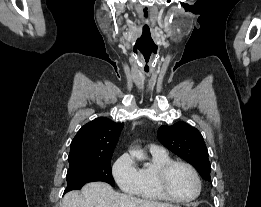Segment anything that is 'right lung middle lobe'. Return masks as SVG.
<instances>
[{"mask_svg": "<svg viewBox=\"0 0 261 207\" xmlns=\"http://www.w3.org/2000/svg\"><path fill=\"white\" fill-rule=\"evenodd\" d=\"M111 158L70 163L66 176L67 188L64 194L74 189H81L84 184L95 181L107 182L114 186Z\"/></svg>", "mask_w": 261, "mask_h": 207, "instance_id": "obj_1", "label": "right lung middle lobe"}]
</instances>
